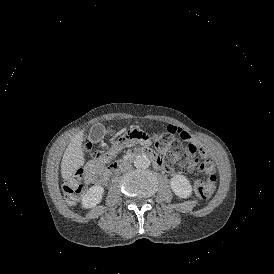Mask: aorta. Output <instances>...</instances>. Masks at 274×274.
<instances>
[{
  "mask_svg": "<svg viewBox=\"0 0 274 274\" xmlns=\"http://www.w3.org/2000/svg\"><path fill=\"white\" fill-rule=\"evenodd\" d=\"M150 165V160L144 155L137 156L134 160V166L139 169H146Z\"/></svg>",
  "mask_w": 274,
  "mask_h": 274,
  "instance_id": "aorta-1",
  "label": "aorta"
}]
</instances>
